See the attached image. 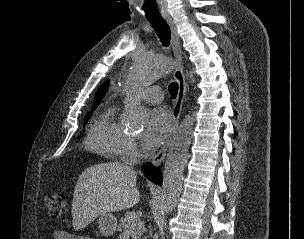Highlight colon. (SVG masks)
I'll return each instance as SVG.
<instances>
[{"label":"colon","mask_w":304,"mask_h":239,"mask_svg":"<svg viewBox=\"0 0 304 239\" xmlns=\"http://www.w3.org/2000/svg\"><path fill=\"white\" fill-rule=\"evenodd\" d=\"M43 200L52 217H59L66 205V196L62 193L46 194Z\"/></svg>","instance_id":"5ec220e1"}]
</instances>
